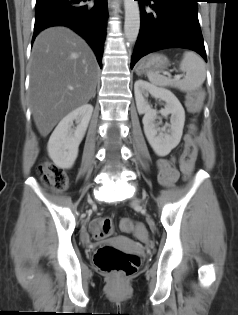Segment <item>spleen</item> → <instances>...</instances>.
I'll return each mask as SVG.
<instances>
[{
  "label": "spleen",
  "mask_w": 238,
  "mask_h": 315,
  "mask_svg": "<svg viewBox=\"0 0 238 315\" xmlns=\"http://www.w3.org/2000/svg\"><path fill=\"white\" fill-rule=\"evenodd\" d=\"M180 71L185 73L182 80H171L163 75L148 72L149 81L160 87H175L183 92H192L202 86L206 78L204 60L192 51H186L181 61Z\"/></svg>",
  "instance_id": "3e777b00"
}]
</instances>
